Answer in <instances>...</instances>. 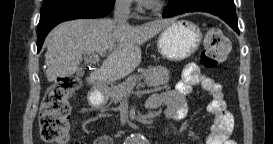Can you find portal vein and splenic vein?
<instances>
[{
    "label": "portal vein and splenic vein",
    "mask_w": 273,
    "mask_h": 144,
    "mask_svg": "<svg viewBox=\"0 0 273 144\" xmlns=\"http://www.w3.org/2000/svg\"><path fill=\"white\" fill-rule=\"evenodd\" d=\"M89 60H90V62L95 64L99 61V57L96 53H93L90 55Z\"/></svg>",
    "instance_id": "obj_1"
}]
</instances>
